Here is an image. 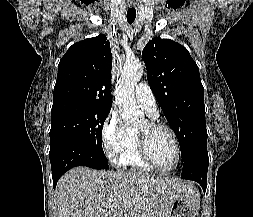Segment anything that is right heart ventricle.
I'll return each instance as SVG.
<instances>
[{"instance_id":"obj_1","label":"right heart ventricle","mask_w":253,"mask_h":217,"mask_svg":"<svg viewBox=\"0 0 253 217\" xmlns=\"http://www.w3.org/2000/svg\"><path fill=\"white\" fill-rule=\"evenodd\" d=\"M116 163L122 167H129L139 173H150V168L141 158L138 151L137 134L130 131V138L127 145L119 153Z\"/></svg>"}]
</instances>
